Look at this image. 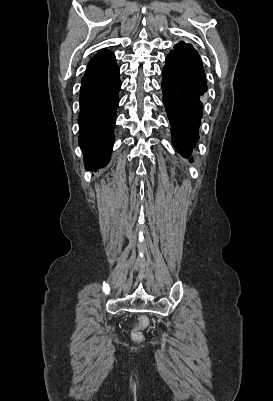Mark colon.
<instances>
[{
    "instance_id": "colon-1",
    "label": "colon",
    "mask_w": 273,
    "mask_h": 401,
    "mask_svg": "<svg viewBox=\"0 0 273 401\" xmlns=\"http://www.w3.org/2000/svg\"><path fill=\"white\" fill-rule=\"evenodd\" d=\"M150 322L148 319H140L137 325H135L134 330L130 332V339L132 342H144L146 340V335L142 332L143 328H148Z\"/></svg>"
}]
</instances>
